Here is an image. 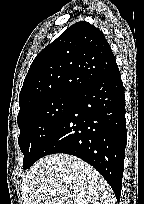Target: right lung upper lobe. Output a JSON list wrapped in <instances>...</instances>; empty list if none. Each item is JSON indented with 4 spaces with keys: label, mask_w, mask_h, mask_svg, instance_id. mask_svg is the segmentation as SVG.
Instances as JSON below:
<instances>
[{
    "label": "right lung upper lobe",
    "mask_w": 144,
    "mask_h": 204,
    "mask_svg": "<svg viewBox=\"0 0 144 204\" xmlns=\"http://www.w3.org/2000/svg\"><path fill=\"white\" fill-rule=\"evenodd\" d=\"M116 67L102 31L77 22L35 57L19 95L18 114L57 95H76Z\"/></svg>",
    "instance_id": "obj_1"
}]
</instances>
